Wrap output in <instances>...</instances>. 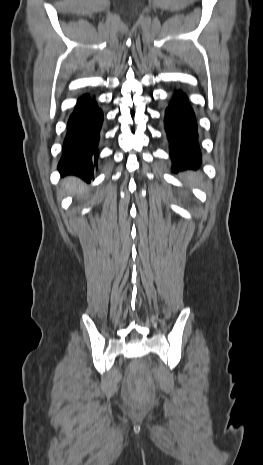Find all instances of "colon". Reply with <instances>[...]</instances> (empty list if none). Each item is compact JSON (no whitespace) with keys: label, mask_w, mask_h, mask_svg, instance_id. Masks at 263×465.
Returning a JSON list of instances; mask_svg holds the SVG:
<instances>
[{"label":"colon","mask_w":263,"mask_h":465,"mask_svg":"<svg viewBox=\"0 0 263 465\" xmlns=\"http://www.w3.org/2000/svg\"><path fill=\"white\" fill-rule=\"evenodd\" d=\"M141 384H142V379H141L140 377H138V376L134 377V379H133V385H134L136 388L140 389V388H141Z\"/></svg>","instance_id":"colon-1"}]
</instances>
